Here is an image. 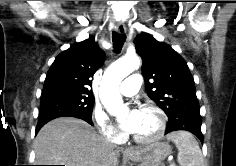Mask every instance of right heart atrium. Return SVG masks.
<instances>
[{
	"instance_id": "obj_1",
	"label": "right heart atrium",
	"mask_w": 236,
	"mask_h": 166,
	"mask_svg": "<svg viewBox=\"0 0 236 166\" xmlns=\"http://www.w3.org/2000/svg\"><path fill=\"white\" fill-rule=\"evenodd\" d=\"M92 121L98 128L101 135L110 141H119L121 136L117 129L111 123L107 113L102 107L95 106L91 113Z\"/></svg>"
}]
</instances>
